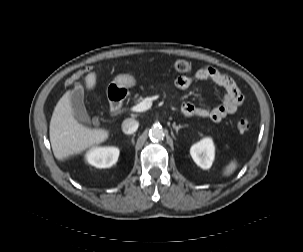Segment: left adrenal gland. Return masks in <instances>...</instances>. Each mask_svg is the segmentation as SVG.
I'll use <instances>...</instances> for the list:
<instances>
[{
    "label": "left adrenal gland",
    "instance_id": "obj_1",
    "mask_svg": "<svg viewBox=\"0 0 303 252\" xmlns=\"http://www.w3.org/2000/svg\"><path fill=\"white\" fill-rule=\"evenodd\" d=\"M172 126H173V128L176 130V133H178V131H179L181 128L187 127L188 125L185 124V125L176 126V123H173Z\"/></svg>",
    "mask_w": 303,
    "mask_h": 252
}]
</instances>
